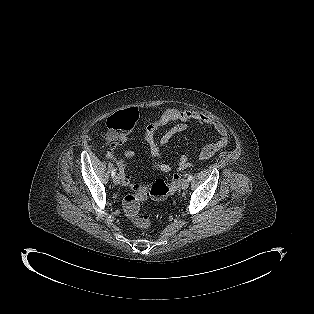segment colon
Segmentation results:
<instances>
[{
  "instance_id": "colon-1",
  "label": "colon",
  "mask_w": 314,
  "mask_h": 314,
  "mask_svg": "<svg viewBox=\"0 0 314 314\" xmlns=\"http://www.w3.org/2000/svg\"><path fill=\"white\" fill-rule=\"evenodd\" d=\"M137 120L138 111L132 107L113 114L102 127L105 138L110 141L125 135L135 127ZM183 176L184 174L174 175L171 185L166 184L159 178L131 185L133 193L127 195L123 200L125 215L137 228H148L152 220L148 214L140 212L141 204L150 197L160 200L165 199L171 191L178 189Z\"/></svg>"
}]
</instances>
